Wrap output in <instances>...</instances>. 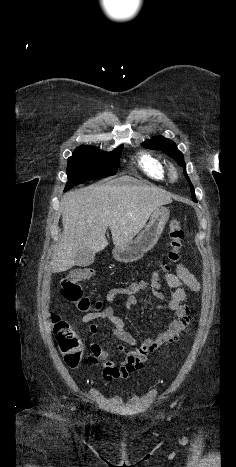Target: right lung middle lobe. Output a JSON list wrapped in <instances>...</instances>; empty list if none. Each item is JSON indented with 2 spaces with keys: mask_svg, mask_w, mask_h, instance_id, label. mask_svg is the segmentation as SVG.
I'll return each mask as SVG.
<instances>
[{
  "mask_svg": "<svg viewBox=\"0 0 236 467\" xmlns=\"http://www.w3.org/2000/svg\"><path fill=\"white\" fill-rule=\"evenodd\" d=\"M123 146L107 152H99L94 147H77L68 158V182L65 191L83 182L115 175Z\"/></svg>",
  "mask_w": 236,
  "mask_h": 467,
  "instance_id": "obj_1",
  "label": "right lung middle lobe"
}]
</instances>
